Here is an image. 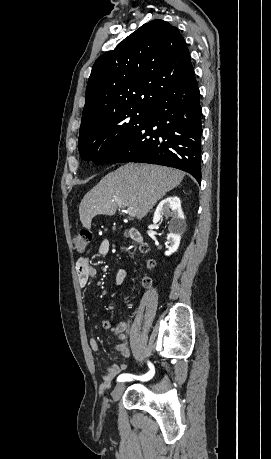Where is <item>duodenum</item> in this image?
I'll use <instances>...</instances> for the list:
<instances>
[{
    "instance_id": "1",
    "label": "duodenum",
    "mask_w": 271,
    "mask_h": 459,
    "mask_svg": "<svg viewBox=\"0 0 271 459\" xmlns=\"http://www.w3.org/2000/svg\"><path fill=\"white\" fill-rule=\"evenodd\" d=\"M128 234L132 240L136 242L142 241V236L137 229H134V228L128 229Z\"/></svg>"
}]
</instances>
